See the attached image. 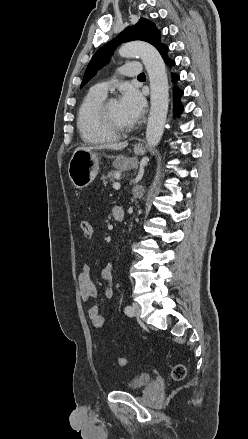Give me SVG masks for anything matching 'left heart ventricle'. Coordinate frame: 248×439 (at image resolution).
<instances>
[{
  "instance_id": "obj_1",
  "label": "left heart ventricle",
  "mask_w": 248,
  "mask_h": 439,
  "mask_svg": "<svg viewBox=\"0 0 248 439\" xmlns=\"http://www.w3.org/2000/svg\"><path fill=\"white\" fill-rule=\"evenodd\" d=\"M109 112L112 120L119 126H130L133 122L124 113L120 101L113 100L109 105Z\"/></svg>"
}]
</instances>
